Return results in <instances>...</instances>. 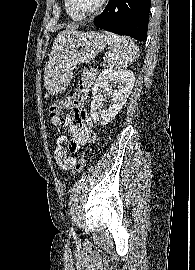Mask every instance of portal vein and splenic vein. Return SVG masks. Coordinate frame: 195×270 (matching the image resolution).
Masks as SVG:
<instances>
[{
  "mask_svg": "<svg viewBox=\"0 0 195 270\" xmlns=\"http://www.w3.org/2000/svg\"><path fill=\"white\" fill-rule=\"evenodd\" d=\"M111 55L110 54H105V57L106 58H109Z\"/></svg>",
  "mask_w": 195,
  "mask_h": 270,
  "instance_id": "18ae733b",
  "label": "portal vein and splenic vein"
}]
</instances>
